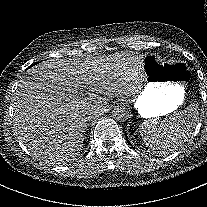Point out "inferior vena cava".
<instances>
[{"mask_svg":"<svg viewBox=\"0 0 207 207\" xmlns=\"http://www.w3.org/2000/svg\"><path fill=\"white\" fill-rule=\"evenodd\" d=\"M98 113H99V110H96L94 114H98ZM94 114H93V115H94Z\"/></svg>","mask_w":207,"mask_h":207,"instance_id":"obj_1","label":"inferior vena cava"}]
</instances>
